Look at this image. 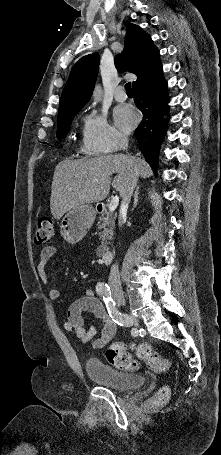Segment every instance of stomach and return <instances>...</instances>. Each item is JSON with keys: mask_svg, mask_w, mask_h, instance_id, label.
<instances>
[{"mask_svg": "<svg viewBox=\"0 0 221 455\" xmlns=\"http://www.w3.org/2000/svg\"><path fill=\"white\" fill-rule=\"evenodd\" d=\"M95 216V209L90 204H82L70 209L61 220V236L70 244L80 242L91 228Z\"/></svg>", "mask_w": 221, "mask_h": 455, "instance_id": "1", "label": "stomach"}]
</instances>
